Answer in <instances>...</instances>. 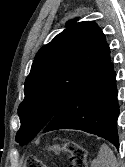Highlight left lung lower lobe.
I'll use <instances>...</instances> for the list:
<instances>
[{
  "mask_svg": "<svg viewBox=\"0 0 125 167\" xmlns=\"http://www.w3.org/2000/svg\"><path fill=\"white\" fill-rule=\"evenodd\" d=\"M116 72L110 48L104 43L89 75L62 105L43 133L57 129H77L95 134L119 148Z\"/></svg>",
  "mask_w": 125,
  "mask_h": 167,
  "instance_id": "0a47b994",
  "label": "left lung lower lobe"
}]
</instances>
